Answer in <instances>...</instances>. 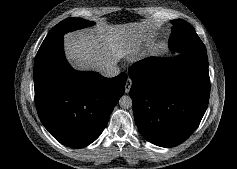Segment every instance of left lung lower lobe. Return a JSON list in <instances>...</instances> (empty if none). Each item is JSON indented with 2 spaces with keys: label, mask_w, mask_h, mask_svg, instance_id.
I'll list each match as a JSON object with an SVG mask.
<instances>
[{
  "label": "left lung lower lobe",
  "mask_w": 237,
  "mask_h": 169,
  "mask_svg": "<svg viewBox=\"0 0 237 169\" xmlns=\"http://www.w3.org/2000/svg\"><path fill=\"white\" fill-rule=\"evenodd\" d=\"M181 53L179 60H141L128 72L136 125L146 140L161 147L184 142L197 128L208 106L206 51Z\"/></svg>",
  "instance_id": "0a47b994"
}]
</instances>
